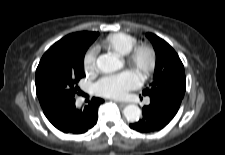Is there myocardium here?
<instances>
[{
    "instance_id": "f54148a6",
    "label": "myocardium",
    "mask_w": 225,
    "mask_h": 155,
    "mask_svg": "<svg viewBox=\"0 0 225 155\" xmlns=\"http://www.w3.org/2000/svg\"><path fill=\"white\" fill-rule=\"evenodd\" d=\"M125 59L142 78L149 77L156 66V52L154 48L147 43L134 45L125 55Z\"/></svg>"
}]
</instances>
